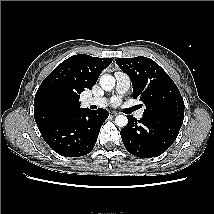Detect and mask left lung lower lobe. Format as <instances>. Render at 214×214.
I'll return each instance as SVG.
<instances>
[{
	"label": "left lung lower lobe",
	"instance_id": "left-lung-lower-lobe-1",
	"mask_svg": "<svg viewBox=\"0 0 214 214\" xmlns=\"http://www.w3.org/2000/svg\"><path fill=\"white\" fill-rule=\"evenodd\" d=\"M128 124L121 131L126 150L141 158L161 155L176 140L182 123L143 116L139 121L129 115Z\"/></svg>",
	"mask_w": 214,
	"mask_h": 214
}]
</instances>
